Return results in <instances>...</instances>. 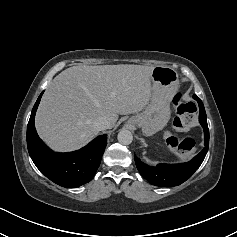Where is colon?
I'll list each match as a JSON object with an SVG mask.
<instances>
[{
	"instance_id": "obj_1",
	"label": "colon",
	"mask_w": 237,
	"mask_h": 237,
	"mask_svg": "<svg viewBox=\"0 0 237 237\" xmlns=\"http://www.w3.org/2000/svg\"><path fill=\"white\" fill-rule=\"evenodd\" d=\"M176 116L173 120V130L176 132H185L194 125L196 115V105L193 102L183 100L181 94H177L173 100ZM168 141L174 144L180 151L188 152L195 149V141L192 139H178L174 136L168 137Z\"/></svg>"
}]
</instances>
